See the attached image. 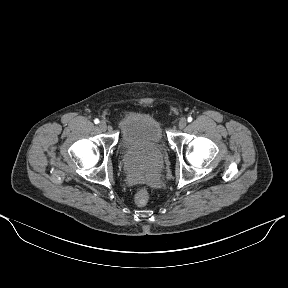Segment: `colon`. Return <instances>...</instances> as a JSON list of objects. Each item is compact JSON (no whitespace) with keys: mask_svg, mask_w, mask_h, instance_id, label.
Listing matches in <instances>:
<instances>
[{"mask_svg":"<svg viewBox=\"0 0 288 288\" xmlns=\"http://www.w3.org/2000/svg\"><path fill=\"white\" fill-rule=\"evenodd\" d=\"M150 198V194L147 189H140L135 195V203L138 206H145Z\"/></svg>","mask_w":288,"mask_h":288,"instance_id":"1","label":"colon"}]
</instances>
